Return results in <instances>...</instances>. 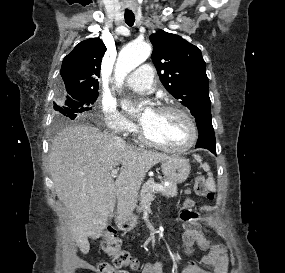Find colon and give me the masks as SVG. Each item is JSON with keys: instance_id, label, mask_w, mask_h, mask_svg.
<instances>
[{"instance_id": "1", "label": "colon", "mask_w": 285, "mask_h": 273, "mask_svg": "<svg viewBox=\"0 0 285 273\" xmlns=\"http://www.w3.org/2000/svg\"><path fill=\"white\" fill-rule=\"evenodd\" d=\"M195 192L208 200H213L215 195L204 177H197L195 181ZM181 222L185 228L182 239L184 245L189 249L197 240L199 232H203L201 223H196L200 218L195 208V201L186 196L182 207L179 208ZM102 247L104 251L112 257L113 262H101L97 265L99 273H118L121 268H136L137 262L134 260L130 252L123 248L121 240L118 238L117 231L108 229L105 237L102 239Z\"/></svg>"}]
</instances>
